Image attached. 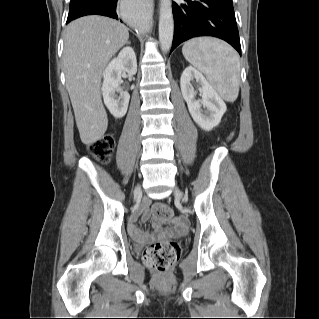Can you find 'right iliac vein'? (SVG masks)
Segmentation results:
<instances>
[{
	"instance_id": "1",
	"label": "right iliac vein",
	"mask_w": 319,
	"mask_h": 319,
	"mask_svg": "<svg viewBox=\"0 0 319 319\" xmlns=\"http://www.w3.org/2000/svg\"><path fill=\"white\" fill-rule=\"evenodd\" d=\"M141 193V187L140 185H137L134 189V196H138Z\"/></svg>"
}]
</instances>
